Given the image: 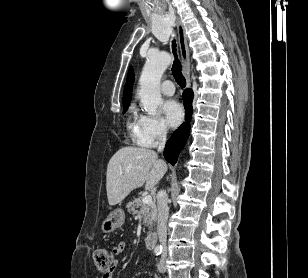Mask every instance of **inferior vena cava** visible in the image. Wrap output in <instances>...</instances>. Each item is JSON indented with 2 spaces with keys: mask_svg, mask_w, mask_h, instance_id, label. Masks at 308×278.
Returning a JSON list of instances; mask_svg holds the SVG:
<instances>
[{
  "mask_svg": "<svg viewBox=\"0 0 308 278\" xmlns=\"http://www.w3.org/2000/svg\"><path fill=\"white\" fill-rule=\"evenodd\" d=\"M158 139H159L158 151L161 152L164 150L166 143L165 129H161L158 135ZM157 209H158L157 234L159 237V242L163 247V254H166L167 219L169 215V208H168V196L166 192L163 190L159 191L157 194Z\"/></svg>",
  "mask_w": 308,
  "mask_h": 278,
  "instance_id": "602c4592",
  "label": "inferior vena cava"
}]
</instances>
